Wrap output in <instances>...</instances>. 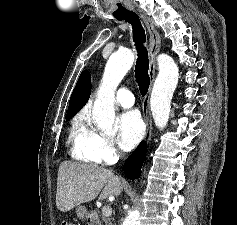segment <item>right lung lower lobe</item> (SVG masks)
<instances>
[{"label": "right lung lower lobe", "instance_id": "right-lung-lower-lobe-1", "mask_svg": "<svg viewBox=\"0 0 237 225\" xmlns=\"http://www.w3.org/2000/svg\"><path fill=\"white\" fill-rule=\"evenodd\" d=\"M146 151L147 144L142 141L137 149L125 161L124 173L129 179H137L140 177Z\"/></svg>", "mask_w": 237, "mask_h": 225}]
</instances>
